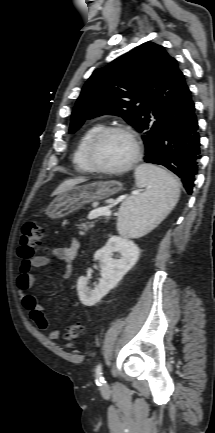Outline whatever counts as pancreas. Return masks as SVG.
Instances as JSON below:
<instances>
[{
	"mask_svg": "<svg viewBox=\"0 0 215 433\" xmlns=\"http://www.w3.org/2000/svg\"><path fill=\"white\" fill-rule=\"evenodd\" d=\"M93 226H94L93 222L80 223L78 225L79 233L84 234V233L88 232L89 230H91L93 228Z\"/></svg>",
	"mask_w": 215,
	"mask_h": 433,
	"instance_id": "cf45deb5",
	"label": "pancreas"
}]
</instances>
